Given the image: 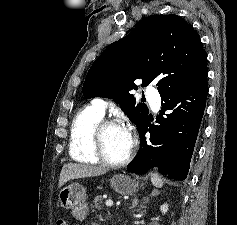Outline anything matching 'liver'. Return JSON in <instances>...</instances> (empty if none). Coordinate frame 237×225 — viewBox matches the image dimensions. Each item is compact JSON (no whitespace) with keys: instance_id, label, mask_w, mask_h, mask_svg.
I'll use <instances>...</instances> for the list:
<instances>
[{"instance_id":"1","label":"liver","mask_w":237,"mask_h":225,"mask_svg":"<svg viewBox=\"0 0 237 225\" xmlns=\"http://www.w3.org/2000/svg\"><path fill=\"white\" fill-rule=\"evenodd\" d=\"M108 170L102 167L88 166L81 164H65L62 167L59 187H62L67 181L71 179H79L85 177L99 176L105 174Z\"/></svg>"}]
</instances>
